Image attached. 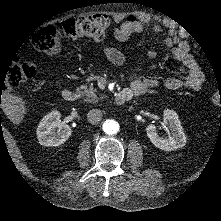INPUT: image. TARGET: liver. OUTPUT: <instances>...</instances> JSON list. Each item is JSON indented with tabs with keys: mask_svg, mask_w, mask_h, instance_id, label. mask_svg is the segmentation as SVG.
Here are the masks:
<instances>
[{
	"mask_svg": "<svg viewBox=\"0 0 221 221\" xmlns=\"http://www.w3.org/2000/svg\"><path fill=\"white\" fill-rule=\"evenodd\" d=\"M0 106L7 118L14 124L18 125L23 121L26 108L22 98L8 94Z\"/></svg>",
	"mask_w": 221,
	"mask_h": 221,
	"instance_id": "1",
	"label": "liver"
}]
</instances>
